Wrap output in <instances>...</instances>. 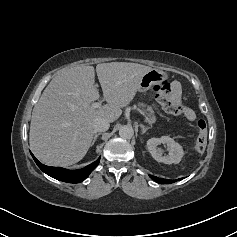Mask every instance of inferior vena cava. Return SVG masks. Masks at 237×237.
Instances as JSON below:
<instances>
[{
    "mask_svg": "<svg viewBox=\"0 0 237 237\" xmlns=\"http://www.w3.org/2000/svg\"><path fill=\"white\" fill-rule=\"evenodd\" d=\"M109 121L105 118H96L93 121V129L96 132H104L109 129Z\"/></svg>",
    "mask_w": 237,
    "mask_h": 237,
    "instance_id": "obj_1",
    "label": "inferior vena cava"
}]
</instances>
